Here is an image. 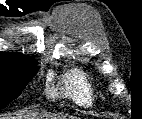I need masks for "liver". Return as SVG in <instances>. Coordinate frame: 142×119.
<instances>
[{"mask_svg":"<svg viewBox=\"0 0 142 119\" xmlns=\"http://www.w3.org/2000/svg\"><path fill=\"white\" fill-rule=\"evenodd\" d=\"M26 119H61L60 116H56L53 114H42L39 115L38 113H27L26 115L23 116ZM2 119H8V118H2Z\"/></svg>","mask_w":142,"mask_h":119,"instance_id":"obj_1","label":"liver"}]
</instances>
